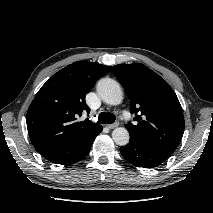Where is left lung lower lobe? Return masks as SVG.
<instances>
[{"instance_id":"obj_1","label":"left lung lower lobe","mask_w":213,"mask_h":213,"mask_svg":"<svg viewBox=\"0 0 213 213\" xmlns=\"http://www.w3.org/2000/svg\"><path fill=\"white\" fill-rule=\"evenodd\" d=\"M122 156L136 167L153 168L166 161L172 153L151 148L130 136V142L120 148Z\"/></svg>"}]
</instances>
